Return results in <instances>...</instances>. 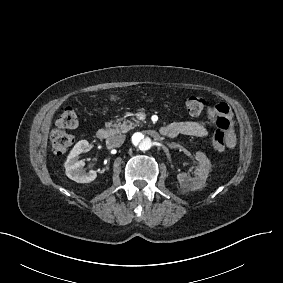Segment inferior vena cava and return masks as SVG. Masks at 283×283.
<instances>
[{"instance_id": "602c4592", "label": "inferior vena cava", "mask_w": 283, "mask_h": 283, "mask_svg": "<svg viewBox=\"0 0 283 283\" xmlns=\"http://www.w3.org/2000/svg\"><path fill=\"white\" fill-rule=\"evenodd\" d=\"M125 141V136L124 135H116V136H110L106 139V144L109 147L117 148L122 146V144Z\"/></svg>"}]
</instances>
